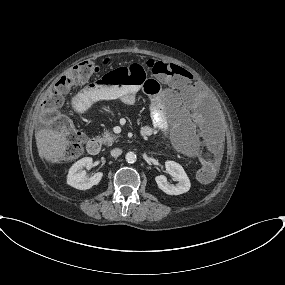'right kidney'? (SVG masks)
Listing matches in <instances>:
<instances>
[{"mask_svg":"<svg viewBox=\"0 0 285 285\" xmlns=\"http://www.w3.org/2000/svg\"><path fill=\"white\" fill-rule=\"evenodd\" d=\"M92 163L93 159L91 157H84L75 162L69 169L67 184L79 190H87L94 185H98L102 179L103 173L97 172L92 177L88 178L86 171L83 170L84 168L90 169Z\"/></svg>","mask_w":285,"mask_h":285,"instance_id":"ca27d5eb","label":"right kidney"}]
</instances>
